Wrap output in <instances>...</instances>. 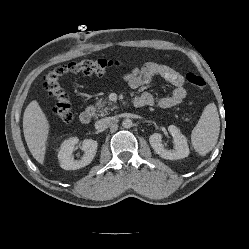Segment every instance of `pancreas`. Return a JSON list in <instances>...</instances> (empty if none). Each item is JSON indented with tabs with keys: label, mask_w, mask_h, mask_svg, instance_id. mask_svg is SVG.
Listing matches in <instances>:
<instances>
[{
	"label": "pancreas",
	"mask_w": 249,
	"mask_h": 249,
	"mask_svg": "<svg viewBox=\"0 0 249 249\" xmlns=\"http://www.w3.org/2000/svg\"><path fill=\"white\" fill-rule=\"evenodd\" d=\"M117 106L110 101L100 99L93 108L95 116H105L110 113V111L116 109Z\"/></svg>",
	"instance_id": "1"
}]
</instances>
